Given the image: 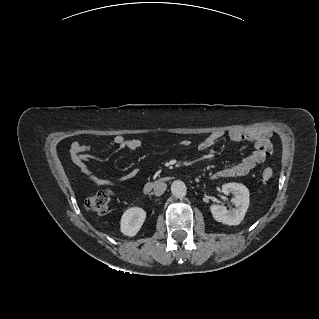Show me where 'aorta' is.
I'll list each match as a JSON object with an SVG mask.
<instances>
[{"label":"aorta","instance_id":"obj_1","mask_svg":"<svg viewBox=\"0 0 319 319\" xmlns=\"http://www.w3.org/2000/svg\"><path fill=\"white\" fill-rule=\"evenodd\" d=\"M171 192L174 197L183 198L187 193V187L183 181L175 180L171 185Z\"/></svg>","mask_w":319,"mask_h":319}]
</instances>
